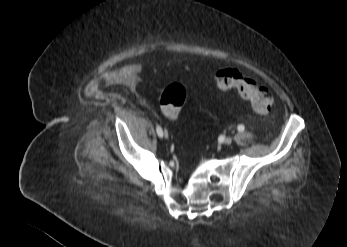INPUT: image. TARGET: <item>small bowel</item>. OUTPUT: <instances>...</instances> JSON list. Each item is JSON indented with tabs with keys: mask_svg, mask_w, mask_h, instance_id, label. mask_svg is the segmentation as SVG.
<instances>
[{
	"mask_svg": "<svg viewBox=\"0 0 347 247\" xmlns=\"http://www.w3.org/2000/svg\"><path fill=\"white\" fill-rule=\"evenodd\" d=\"M138 76V67L136 64H128L122 66L118 71H110L105 80H120L129 88H135L137 85L136 78Z\"/></svg>",
	"mask_w": 347,
	"mask_h": 247,
	"instance_id": "obj_1",
	"label": "small bowel"
}]
</instances>
